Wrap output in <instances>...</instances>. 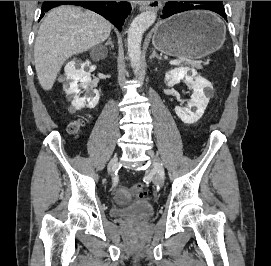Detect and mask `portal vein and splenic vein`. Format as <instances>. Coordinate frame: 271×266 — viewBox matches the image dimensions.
<instances>
[{"instance_id":"18ae733b","label":"portal vein and splenic vein","mask_w":271,"mask_h":266,"mask_svg":"<svg viewBox=\"0 0 271 266\" xmlns=\"http://www.w3.org/2000/svg\"><path fill=\"white\" fill-rule=\"evenodd\" d=\"M182 62V60H171L169 62L170 65H177V64H180ZM192 64L196 65V64H200L201 61H193L191 62Z\"/></svg>"}]
</instances>
